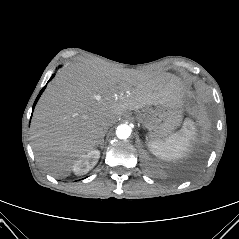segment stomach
I'll return each mask as SVG.
<instances>
[{
    "label": "stomach",
    "mask_w": 239,
    "mask_h": 239,
    "mask_svg": "<svg viewBox=\"0 0 239 239\" xmlns=\"http://www.w3.org/2000/svg\"><path fill=\"white\" fill-rule=\"evenodd\" d=\"M183 118L182 103L159 105L141 117L142 124L149 130V140L165 139L178 127Z\"/></svg>",
    "instance_id": "1"
}]
</instances>
